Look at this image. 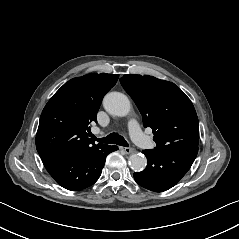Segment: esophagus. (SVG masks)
Returning <instances> with one entry per match:
<instances>
[{"instance_id":"obj_1","label":"esophagus","mask_w":239,"mask_h":239,"mask_svg":"<svg viewBox=\"0 0 239 239\" xmlns=\"http://www.w3.org/2000/svg\"><path fill=\"white\" fill-rule=\"evenodd\" d=\"M126 154H131L133 152L132 148L120 147Z\"/></svg>"}]
</instances>
